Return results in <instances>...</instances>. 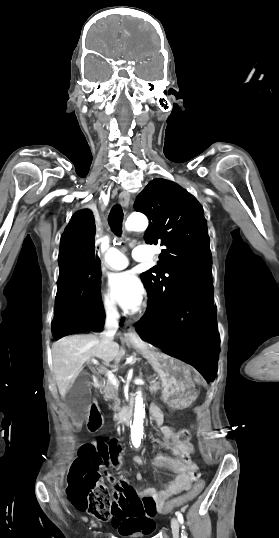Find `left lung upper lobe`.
<instances>
[{
	"label": "left lung upper lobe",
	"mask_w": 279,
	"mask_h": 538,
	"mask_svg": "<svg viewBox=\"0 0 279 538\" xmlns=\"http://www.w3.org/2000/svg\"><path fill=\"white\" fill-rule=\"evenodd\" d=\"M134 209L149 219L146 243L167 247L158 265L141 274L149 298L143 318L151 320L186 291L212 281L210 241L201 205L174 182L160 178L149 182Z\"/></svg>",
	"instance_id": "5c2ea615"
}]
</instances>
